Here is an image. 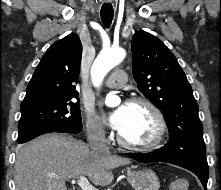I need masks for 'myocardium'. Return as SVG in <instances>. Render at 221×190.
<instances>
[{
    "label": "myocardium",
    "instance_id": "obj_1",
    "mask_svg": "<svg viewBox=\"0 0 221 190\" xmlns=\"http://www.w3.org/2000/svg\"><path fill=\"white\" fill-rule=\"evenodd\" d=\"M128 104L142 105L148 108L154 117L155 131H154L152 139L149 142L142 143V144L129 142L121 135L120 132H118L117 134L118 143L127 149H130L133 151H140V152L151 151V150L158 148L162 144L165 134L167 132V123H166V120L162 111L158 108V106L155 103H153L151 100L144 98V97L131 98L128 101Z\"/></svg>",
    "mask_w": 221,
    "mask_h": 190
}]
</instances>
